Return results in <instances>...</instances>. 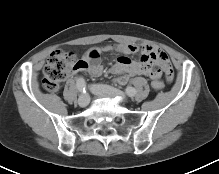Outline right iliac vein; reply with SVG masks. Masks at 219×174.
Here are the masks:
<instances>
[{
  "label": "right iliac vein",
  "mask_w": 219,
  "mask_h": 174,
  "mask_svg": "<svg viewBox=\"0 0 219 174\" xmlns=\"http://www.w3.org/2000/svg\"><path fill=\"white\" fill-rule=\"evenodd\" d=\"M89 101L90 99H89L88 94H83L78 99V105L80 107H86L89 104Z\"/></svg>",
  "instance_id": "right-iliac-vein-1"
}]
</instances>
